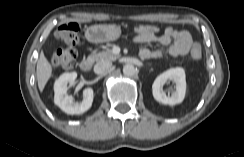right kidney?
<instances>
[{"mask_svg":"<svg viewBox=\"0 0 244 157\" xmlns=\"http://www.w3.org/2000/svg\"><path fill=\"white\" fill-rule=\"evenodd\" d=\"M77 78L76 72L62 74L54 84V103L65 113L70 115H79L89 110L93 103L94 92L92 88H86L83 91V100L81 103L73 102L72 96L67 94V84H74Z\"/></svg>","mask_w":244,"mask_h":157,"instance_id":"obj_1","label":"right kidney"}]
</instances>
